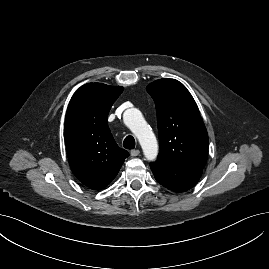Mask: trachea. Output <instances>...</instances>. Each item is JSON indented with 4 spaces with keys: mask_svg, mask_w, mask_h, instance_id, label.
<instances>
[{
    "mask_svg": "<svg viewBox=\"0 0 269 269\" xmlns=\"http://www.w3.org/2000/svg\"><path fill=\"white\" fill-rule=\"evenodd\" d=\"M123 146L126 149H133L135 147V139L133 136L129 135L124 139Z\"/></svg>",
    "mask_w": 269,
    "mask_h": 269,
    "instance_id": "trachea-1",
    "label": "trachea"
}]
</instances>
